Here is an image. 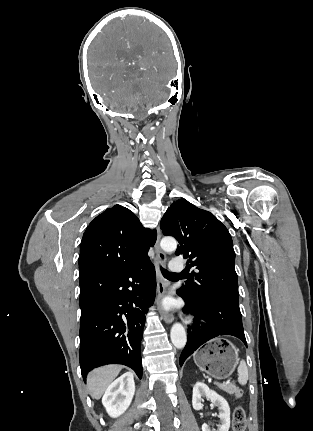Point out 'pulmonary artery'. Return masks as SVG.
I'll return each mask as SVG.
<instances>
[{"mask_svg": "<svg viewBox=\"0 0 313 431\" xmlns=\"http://www.w3.org/2000/svg\"><path fill=\"white\" fill-rule=\"evenodd\" d=\"M184 269L183 263L179 258H174L171 262H170V270L172 272H176L179 273Z\"/></svg>", "mask_w": 313, "mask_h": 431, "instance_id": "obj_1", "label": "pulmonary artery"}]
</instances>
